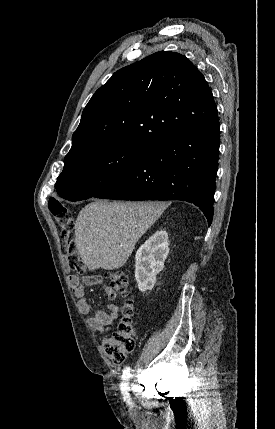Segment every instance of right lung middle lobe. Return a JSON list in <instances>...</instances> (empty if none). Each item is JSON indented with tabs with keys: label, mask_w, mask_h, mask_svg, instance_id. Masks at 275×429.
<instances>
[{
	"label": "right lung middle lobe",
	"mask_w": 275,
	"mask_h": 429,
	"mask_svg": "<svg viewBox=\"0 0 275 429\" xmlns=\"http://www.w3.org/2000/svg\"><path fill=\"white\" fill-rule=\"evenodd\" d=\"M148 150L146 146L123 143L86 154L65 163L55 188L61 197L70 201L93 197L137 168Z\"/></svg>",
	"instance_id": "obj_1"
}]
</instances>
